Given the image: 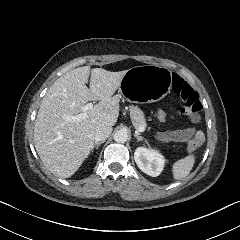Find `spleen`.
Listing matches in <instances>:
<instances>
[{"label":"spleen","instance_id":"obj_1","mask_svg":"<svg viewBox=\"0 0 240 240\" xmlns=\"http://www.w3.org/2000/svg\"><path fill=\"white\" fill-rule=\"evenodd\" d=\"M195 163V156L190 154L183 159L178 160L173 165V177L180 180L189 175Z\"/></svg>","mask_w":240,"mask_h":240}]
</instances>
